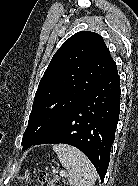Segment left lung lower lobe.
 Listing matches in <instances>:
<instances>
[{
    "label": "left lung lower lobe",
    "mask_w": 138,
    "mask_h": 186,
    "mask_svg": "<svg viewBox=\"0 0 138 186\" xmlns=\"http://www.w3.org/2000/svg\"><path fill=\"white\" fill-rule=\"evenodd\" d=\"M120 93L115 66L59 124L33 145L63 143L78 148L90 159L103 181L119 119Z\"/></svg>",
    "instance_id": "obj_1"
}]
</instances>
